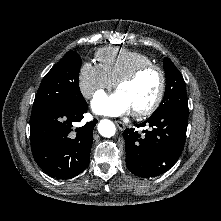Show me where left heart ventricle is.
I'll return each instance as SVG.
<instances>
[{
  "mask_svg": "<svg viewBox=\"0 0 221 221\" xmlns=\"http://www.w3.org/2000/svg\"><path fill=\"white\" fill-rule=\"evenodd\" d=\"M160 87V77L154 70L147 71L133 82L122 85L118 91L126 98L132 110L148 107L155 100Z\"/></svg>",
  "mask_w": 221,
  "mask_h": 221,
  "instance_id": "left-heart-ventricle-1",
  "label": "left heart ventricle"
}]
</instances>
